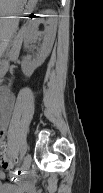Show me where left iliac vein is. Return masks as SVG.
<instances>
[{
  "instance_id": "1",
  "label": "left iliac vein",
  "mask_w": 103,
  "mask_h": 193,
  "mask_svg": "<svg viewBox=\"0 0 103 193\" xmlns=\"http://www.w3.org/2000/svg\"><path fill=\"white\" fill-rule=\"evenodd\" d=\"M31 161H32L31 155L27 154L25 159H24V162H23V169L24 170H28L29 169Z\"/></svg>"
}]
</instances>
